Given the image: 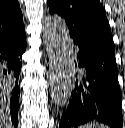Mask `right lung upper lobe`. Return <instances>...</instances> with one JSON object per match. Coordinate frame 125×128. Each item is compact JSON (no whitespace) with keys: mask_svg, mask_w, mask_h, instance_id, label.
<instances>
[{"mask_svg":"<svg viewBox=\"0 0 125 128\" xmlns=\"http://www.w3.org/2000/svg\"><path fill=\"white\" fill-rule=\"evenodd\" d=\"M24 29L18 0H0V39Z\"/></svg>","mask_w":125,"mask_h":128,"instance_id":"right-lung-upper-lobe-1","label":"right lung upper lobe"}]
</instances>
